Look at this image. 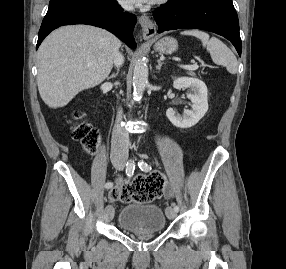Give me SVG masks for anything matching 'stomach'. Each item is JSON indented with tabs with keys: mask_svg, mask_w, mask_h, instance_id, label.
<instances>
[{
	"mask_svg": "<svg viewBox=\"0 0 286 269\" xmlns=\"http://www.w3.org/2000/svg\"><path fill=\"white\" fill-rule=\"evenodd\" d=\"M154 48L161 54H172L178 49V43L172 37H164L155 43Z\"/></svg>",
	"mask_w": 286,
	"mask_h": 269,
	"instance_id": "obj_1",
	"label": "stomach"
}]
</instances>
